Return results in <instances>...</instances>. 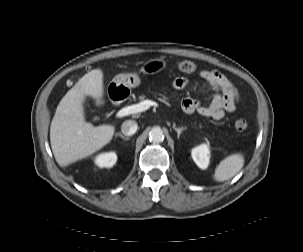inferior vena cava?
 <instances>
[{
	"instance_id": "obj_1",
	"label": "inferior vena cava",
	"mask_w": 303,
	"mask_h": 252,
	"mask_svg": "<svg viewBox=\"0 0 303 252\" xmlns=\"http://www.w3.org/2000/svg\"><path fill=\"white\" fill-rule=\"evenodd\" d=\"M137 123L133 120H126L121 126V131L126 136H131L137 131Z\"/></svg>"
}]
</instances>
